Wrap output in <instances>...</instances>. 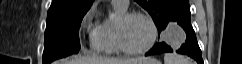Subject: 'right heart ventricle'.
Segmentation results:
<instances>
[{
	"label": "right heart ventricle",
	"mask_w": 242,
	"mask_h": 64,
	"mask_svg": "<svg viewBox=\"0 0 242 64\" xmlns=\"http://www.w3.org/2000/svg\"><path fill=\"white\" fill-rule=\"evenodd\" d=\"M116 16L107 17L98 31L92 37L93 48L103 54H114L120 51L117 43L116 27L118 18L126 12V10L114 6Z\"/></svg>",
	"instance_id": "obj_1"
}]
</instances>
